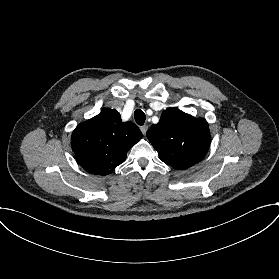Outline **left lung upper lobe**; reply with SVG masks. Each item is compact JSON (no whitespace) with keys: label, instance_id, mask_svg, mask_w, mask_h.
<instances>
[{"label":"left lung upper lobe","instance_id":"obj_1","mask_svg":"<svg viewBox=\"0 0 279 279\" xmlns=\"http://www.w3.org/2000/svg\"><path fill=\"white\" fill-rule=\"evenodd\" d=\"M147 137L160 159L174 169H186L201 161L210 144L206 120L176 108L163 111L159 123L147 131Z\"/></svg>","mask_w":279,"mask_h":279}]
</instances>
